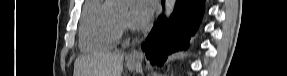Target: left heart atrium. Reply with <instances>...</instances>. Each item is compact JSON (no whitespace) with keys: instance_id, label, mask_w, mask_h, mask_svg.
Returning <instances> with one entry per match:
<instances>
[{"instance_id":"obj_1","label":"left heart atrium","mask_w":287,"mask_h":76,"mask_svg":"<svg viewBox=\"0 0 287 76\" xmlns=\"http://www.w3.org/2000/svg\"><path fill=\"white\" fill-rule=\"evenodd\" d=\"M153 13V3L149 0H134L128 14L130 25L142 29L150 22Z\"/></svg>"}]
</instances>
